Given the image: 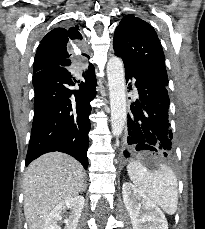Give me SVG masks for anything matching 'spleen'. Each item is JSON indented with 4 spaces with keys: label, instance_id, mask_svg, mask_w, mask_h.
<instances>
[{
    "label": "spleen",
    "instance_id": "obj_1",
    "mask_svg": "<svg viewBox=\"0 0 205 229\" xmlns=\"http://www.w3.org/2000/svg\"><path fill=\"white\" fill-rule=\"evenodd\" d=\"M127 171L132 182L151 201L159 205L167 214H174L178 207V182L174 172L166 166L149 171L139 161L128 164Z\"/></svg>",
    "mask_w": 205,
    "mask_h": 229
}]
</instances>
